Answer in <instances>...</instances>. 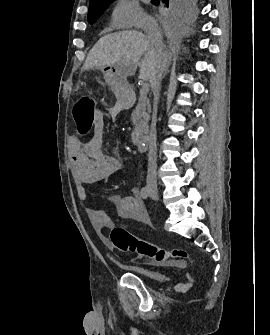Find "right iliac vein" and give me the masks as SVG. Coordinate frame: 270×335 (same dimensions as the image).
<instances>
[{
  "label": "right iliac vein",
  "instance_id": "1",
  "mask_svg": "<svg viewBox=\"0 0 270 335\" xmlns=\"http://www.w3.org/2000/svg\"><path fill=\"white\" fill-rule=\"evenodd\" d=\"M148 190H149V193H150V195L153 199H156V200L159 199V192H158L157 187H155L153 185H149Z\"/></svg>",
  "mask_w": 270,
  "mask_h": 335
}]
</instances>
